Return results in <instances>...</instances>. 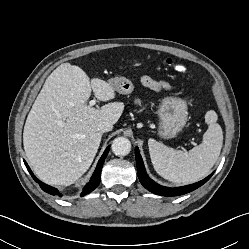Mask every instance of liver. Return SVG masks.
<instances>
[{
  "label": "liver",
  "instance_id": "liver-1",
  "mask_svg": "<svg viewBox=\"0 0 249 249\" xmlns=\"http://www.w3.org/2000/svg\"><path fill=\"white\" fill-rule=\"evenodd\" d=\"M92 90L100 101L115 98L109 82L90 80L78 66L63 63L48 76L27 116L25 154L46 184L69 186L78 180L98 151L102 139L98 123L107 121L113 126L124 110L120 102L87 106Z\"/></svg>",
  "mask_w": 249,
  "mask_h": 249
}]
</instances>
